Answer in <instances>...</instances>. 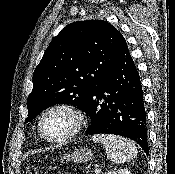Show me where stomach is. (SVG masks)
I'll return each mask as SVG.
<instances>
[{
  "label": "stomach",
  "instance_id": "1",
  "mask_svg": "<svg viewBox=\"0 0 175 174\" xmlns=\"http://www.w3.org/2000/svg\"><path fill=\"white\" fill-rule=\"evenodd\" d=\"M93 156L91 150L86 148L76 149L72 154H66L62 157V160H73L75 163H83L90 160Z\"/></svg>",
  "mask_w": 175,
  "mask_h": 174
}]
</instances>
